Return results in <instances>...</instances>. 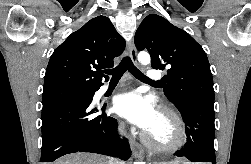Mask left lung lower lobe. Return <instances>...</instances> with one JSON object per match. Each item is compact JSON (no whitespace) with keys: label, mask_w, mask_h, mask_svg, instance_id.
Wrapping results in <instances>:
<instances>
[{"label":"left lung lower lobe","mask_w":251,"mask_h":164,"mask_svg":"<svg viewBox=\"0 0 251 164\" xmlns=\"http://www.w3.org/2000/svg\"><path fill=\"white\" fill-rule=\"evenodd\" d=\"M177 109L185 122L187 142L175 153L192 162L216 164L214 150V107L204 102H187Z\"/></svg>","instance_id":"0a47b994"}]
</instances>
